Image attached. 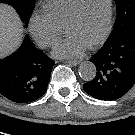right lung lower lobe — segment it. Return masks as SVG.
<instances>
[{
	"label": "right lung lower lobe",
	"instance_id": "1",
	"mask_svg": "<svg viewBox=\"0 0 135 135\" xmlns=\"http://www.w3.org/2000/svg\"><path fill=\"white\" fill-rule=\"evenodd\" d=\"M54 64L26 35L16 52L0 60V94L16 103L37 100L46 92Z\"/></svg>",
	"mask_w": 135,
	"mask_h": 135
}]
</instances>
